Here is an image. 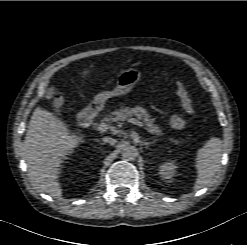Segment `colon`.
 <instances>
[{
	"instance_id": "obj_1",
	"label": "colon",
	"mask_w": 247,
	"mask_h": 245,
	"mask_svg": "<svg viewBox=\"0 0 247 245\" xmlns=\"http://www.w3.org/2000/svg\"><path fill=\"white\" fill-rule=\"evenodd\" d=\"M177 95L183 110L188 114L192 115L194 113L193 99L185 85L183 80L177 81ZM63 104V99L60 95H56L54 99V106L60 108ZM187 123L185 117L181 115H174L170 118V126L173 129H183Z\"/></svg>"
}]
</instances>
